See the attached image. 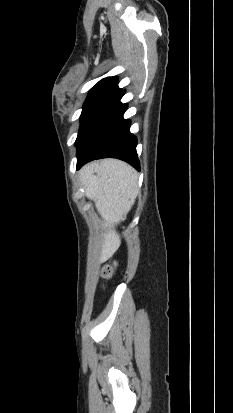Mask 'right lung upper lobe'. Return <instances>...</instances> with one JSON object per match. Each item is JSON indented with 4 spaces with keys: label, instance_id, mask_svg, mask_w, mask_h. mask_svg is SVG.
<instances>
[{
    "label": "right lung upper lobe",
    "instance_id": "1",
    "mask_svg": "<svg viewBox=\"0 0 233 413\" xmlns=\"http://www.w3.org/2000/svg\"><path fill=\"white\" fill-rule=\"evenodd\" d=\"M101 81H115V82H117L118 79H117L116 77H108V78H105V79H103V80H101ZM101 81H100V82H101Z\"/></svg>",
    "mask_w": 233,
    "mask_h": 413
}]
</instances>
